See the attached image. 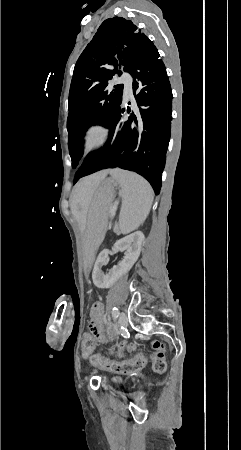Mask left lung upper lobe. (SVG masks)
<instances>
[{
	"mask_svg": "<svg viewBox=\"0 0 241 450\" xmlns=\"http://www.w3.org/2000/svg\"><path fill=\"white\" fill-rule=\"evenodd\" d=\"M154 44L130 20H105L78 58L69 92L67 129L72 166L83 155V135L95 124L105 125L122 102L123 84L109 81L121 69L128 71L132 60ZM112 65L114 70L107 67Z\"/></svg>",
	"mask_w": 241,
	"mask_h": 450,
	"instance_id": "1",
	"label": "left lung upper lobe"
}]
</instances>
